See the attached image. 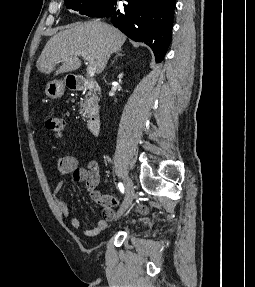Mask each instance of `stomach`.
<instances>
[{
	"mask_svg": "<svg viewBox=\"0 0 255 287\" xmlns=\"http://www.w3.org/2000/svg\"><path fill=\"white\" fill-rule=\"evenodd\" d=\"M65 90V82H61V80H53V82H49L45 88V94L48 98H52V100H57V98H61L63 96Z\"/></svg>",
	"mask_w": 255,
	"mask_h": 287,
	"instance_id": "0dacf381",
	"label": "stomach"
}]
</instances>
